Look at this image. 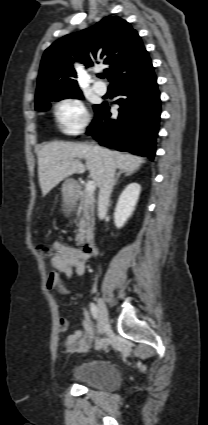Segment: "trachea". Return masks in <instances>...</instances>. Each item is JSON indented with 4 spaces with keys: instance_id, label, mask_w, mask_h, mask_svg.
<instances>
[{
    "instance_id": "trachea-1",
    "label": "trachea",
    "mask_w": 208,
    "mask_h": 425,
    "mask_svg": "<svg viewBox=\"0 0 208 425\" xmlns=\"http://www.w3.org/2000/svg\"><path fill=\"white\" fill-rule=\"evenodd\" d=\"M99 77H100V78H104V77H105V75H104V74H99Z\"/></svg>"
}]
</instances>
